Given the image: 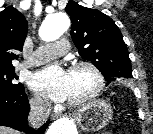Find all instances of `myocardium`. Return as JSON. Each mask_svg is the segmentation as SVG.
I'll list each match as a JSON object with an SVG mask.
<instances>
[{"label": "myocardium", "instance_id": "obj_1", "mask_svg": "<svg viewBox=\"0 0 153 134\" xmlns=\"http://www.w3.org/2000/svg\"><path fill=\"white\" fill-rule=\"evenodd\" d=\"M80 68L88 69L93 74L95 79V85L94 88L82 98L77 100H68V104L71 106H81L87 103L88 101L95 98L105 86L104 75L93 62L87 60L76 61L70 66L69 71H74Z\"/></svg>", "mask_w": 153, "mask_h": 134}]
</instances>
